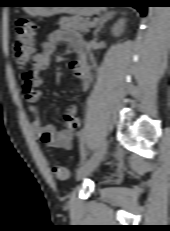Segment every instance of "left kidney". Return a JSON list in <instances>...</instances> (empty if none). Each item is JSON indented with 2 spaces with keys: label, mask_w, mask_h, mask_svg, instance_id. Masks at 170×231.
Instances as JSON below:
<instances>
[{
  "label": "left kidney",
  "mask_w": 170,
  "mask_h": 231,
  "mask_svg": "<svg viewBox=\"0 0 170 231\" xmlns=\"http://www.w3.org/2000/svg\"><path fill=\"white\" fill-rule=\"evenodd\" d=\"M125 19H120L112 28V33L114 36L118 37L124 31Z\"/></svg>",
  "instance_id": "5707ae66"
}]
</instances>
